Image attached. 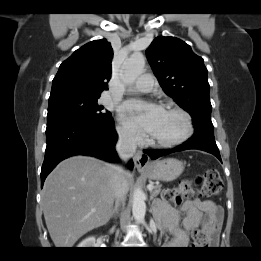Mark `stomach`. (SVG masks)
I'll return each mask as SVG.
<instances>
[{"label":"stomach","instance_id":"1","mask_svg":"<svg viewBox=\"0 0 261 261\" xmlns=\"http://www.w3.org/2000/svg\"><path fill=\"white\" fill-rule=\"evenodd\" d=\"M183 170V162L175 158H166L151 163L143 172L154 180L172 181L178 178Z\"/></svg>","mask_w":261,"mask_h":261}]
</instances>
